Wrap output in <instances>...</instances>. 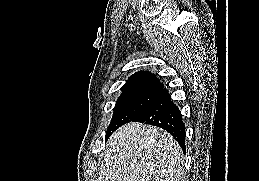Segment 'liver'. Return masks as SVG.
Wrapping results in <instances>:
<instances>
[{
  "instance_id": "obj_1",
  "label": "liver",
  "mask_w": 259,
  "mask_h": 181,
  "mask_svg": "<svg viewBox=\"0 0 259 181\" xmlns=\"http://www.w3.org/2000/svg\"><path fill=\"white\" fill-rule=\"evenodd\" d=\"M182 159L165 130L128 123L110 137L98 181H182Z\"/></svg>"
}]
</instances>
